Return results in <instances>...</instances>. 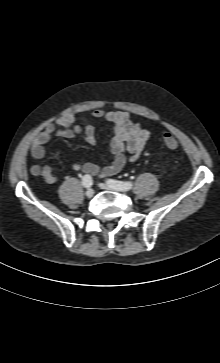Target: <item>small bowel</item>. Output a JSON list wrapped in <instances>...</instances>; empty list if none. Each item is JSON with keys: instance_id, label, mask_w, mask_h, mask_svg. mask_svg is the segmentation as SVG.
Returning <instances> with one entry per match:
<instances>
[{"instance_id": "c3829d8e", "label": "small bowel", "mask_w": 220, "mask_h": 363, "mask_svg": "<svg viewBox=\"0 0 220 363\" xmlns=\"http://www.w3.org/2000/svg\"><path fill=\"white\" fill-rule=\"evenodd\" d=\"M93 119L109 121L113 125V132L109 137V145L114 154L113 162L105 167L94 163L74 162L72 169L100 177H108L118 173L127 162L136 161L150 140V132L142 128L140 123L123 111H109L97 109L92 112ZM58 132L64 138L71 139L82 136L88 144H95V128L85 117L70 114L56 123H49L43 131L35 136L31 143V155L35 159L45 157L44 146L50 141L52 135ZM30 171L35 176H41L47 183L54 184L58 181L57 175L49 166L33 165Z\"/></svg>"}]
</instances>
